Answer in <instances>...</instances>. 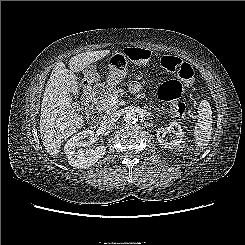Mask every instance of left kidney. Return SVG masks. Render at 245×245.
Segmentation results:
<instances>
[{
  "mask_svg": "<svg viewBox=\"0 0 245 245\" xmlns=\"http://www.w3.org/2000/svg\"><path fill=\"white\" fill-rule=\"evenodd\" d=\"M171 132L175 134L174 137L171 139H167L165 137L166 134ZM156 136L160 145L165 148L179 146L181 143H183L184 140V133L182 131L181 125L176 121L170 122L169 126L159 128Z\"/></svg>",
  "mask_w": 245,
  "mask_h": 245,
  "instance_id": "5707ae66",
  "label": "left kidney"
}]
</instances>
